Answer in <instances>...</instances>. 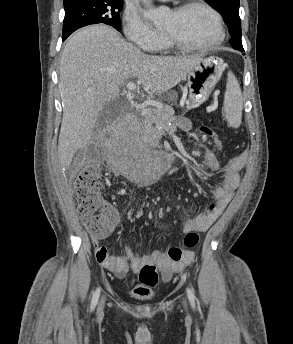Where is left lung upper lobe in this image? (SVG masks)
I'll return each mask as SVG.
<instances>
[{
  "label": "left lung upper lobe",
  "instance_id": "5c2ea615",
  "mask_svg": "<svg viewBox=\"0 0 293 344\" xmlns=\"http://www.w3.org/2000/svg\"><path fill=\"white\" fill-rule=\"evenodd\" d=\"M215 8L225 19L233 48L244 50L241 41V23L239 17V0H205Z\"/></svg>",
  "mask_w": 293,
  "mask_h": 344
}]
</instances>
